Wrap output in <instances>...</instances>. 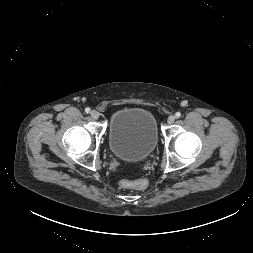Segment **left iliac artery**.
<instances>
[{
  "mask_svg": "<svg viewBox=\"0 0 253 253\" xmlns=\"http://www.w3.org/2000/svg\"><path fill=\"white\" fill-rule=\"evenodd\" d=\"M175 117H176V118L181 117V113H180V112H177V113L175 114Z\"/></svg>",
  "mask_w": 253,
  "mask_h": 253,
  "instance_id": "obj_1",
  "label": "left iliac artery"
}]
</instances>
